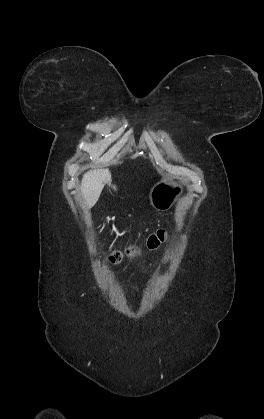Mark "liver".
<instances>
[{"mask_svg": "<svg viewBox=\"0 0 264 419\" xmlns=\"http://www.w3.org/2000/svg\"><path fill=\"white\" fill-rule=\"evenodd\" d=\"M111 173L108 169L90 170L84 174L81 183V192L87 207H93L98 201L104 185L111 186ZM116 190L115 186H112Z\"/></svg>", "mask_w": 264, "mask_h": 419, "instance_id": "liver-1", "label": "liver"}]
</instances>
